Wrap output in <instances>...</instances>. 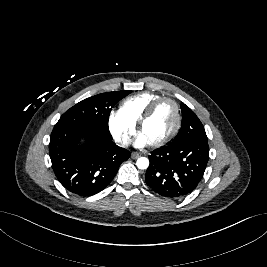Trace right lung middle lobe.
<instances>
[{
    "label": "right lung middle lobe",
    "mask_w": 267,
    "mask_h": 267,
    "mask_svg": "<svg viewBox=\"0 0 267 267\" xmlns=\"http://www.w3.org/2000/svg\"><path fill=\"white\" fill-rule=\"evenodd\" d=\"M130 93L131 90L107 92L84 99L67 110L55 126L108 128L112 108Z\"/></svg>",
    "instance_id": "dd1d6c3e"
}]
</instances>
